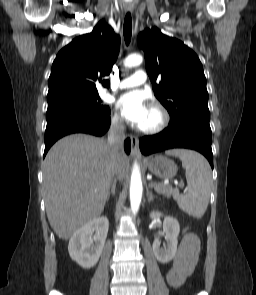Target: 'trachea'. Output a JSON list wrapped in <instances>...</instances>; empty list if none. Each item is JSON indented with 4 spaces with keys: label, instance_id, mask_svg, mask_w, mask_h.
I'll list each match as a JSON object with an SVG mask.
<instances>
[{
    "label": "trachea",
    "instance_id": "obj_1",
    "mask_svg": "<svg viewBox=\"0 0 256 295\" xmlns=\"http://www.w3.org/2000/svg\"><path fill=\"white\" fill-rule=\"evenodd\" d=\"M123 32L126 45H128L131 41L132 35V18L129 12L125 16Z\"/></svg>",
    "mask_w": 256,
    "mask_h": 295
}]
</instances>
